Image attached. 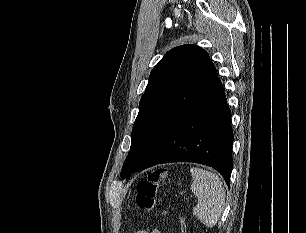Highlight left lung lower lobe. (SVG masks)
Segmentation results:
<instances>
[{
	"mask_svg": "<svg viewBox=\"0 0 306 233\" xmlns=\"http://www.w3.org/2000/svg\"><path fill=\"white\" fill-rule=\"evenodd\" d=\"M231 112L218 79L162 138L137 171L160 163L195 162L215 168L230 185Z\"/></svg>",
	"mask_w": 306,
	"mask_h": 233,
	"instance_id": "left-lung-lower-lobe-1",
	"label": "left lung lower lobe"
}]
</instances>
